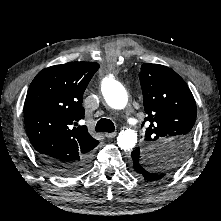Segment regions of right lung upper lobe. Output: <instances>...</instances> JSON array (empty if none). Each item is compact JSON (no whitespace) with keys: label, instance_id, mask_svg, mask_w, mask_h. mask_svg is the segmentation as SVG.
I'll return each mask as SVG.
<instances>
[{"label":"right lung upper lobe","instance_id":"obj_1","mask_svg":"<svg viewBox=\"0 0 221 221\" xmlns=\"http://www.w3.org/2000/svg\"><path fill=\"white\" fill-rule=\"evenodd\" d=\"M96 62H72L40 71L32 81L24 103L28 138L39 156L61 162H76L91 156L98 141L85 125L83 93Z\"/></svg>","mask_w":221,"mask_h":221}]
</instances>
